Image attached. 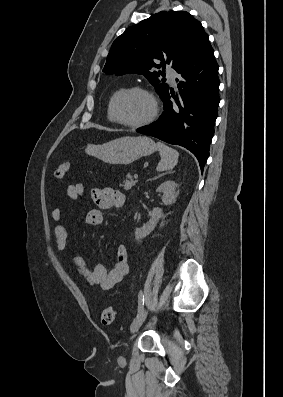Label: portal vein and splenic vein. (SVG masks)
<instances>
[{"label": "portal vein and splenic vein", "instance_id": "obj_1", "mask_svg": "<svg viewBox=\"0 0 283 397\" xmlns=\"http://www.w3.org/2000/svg\"><path fill=\"white\" fill-rule=\"evenodd\" d=\"M134 178H135V179L138 178V174H137V173L134 174Z\"/></svg>", "mask_w": 283, "mask_h": 397}]
</instances>
